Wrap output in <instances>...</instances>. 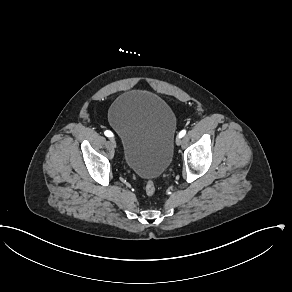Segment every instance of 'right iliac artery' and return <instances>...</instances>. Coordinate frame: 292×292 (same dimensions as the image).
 <instances>
[{"instance_id":"right-iliac-artery-1","label":"right iliac artery","mask_w":292,"mask_h":292,"mask_svg":"<svg viewBox=\"0 0 292 292\" xmlns=\"http://www.w3.org/2000/svg\"><path fill=\"white\" fill-rule=\"evenodd\" d=\"M104 134H105V136H107V137H113V133H112L111 131H109V130H106V131L104 132Z\"/></svg>"}]
</instances>
